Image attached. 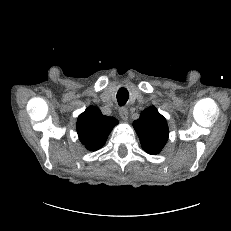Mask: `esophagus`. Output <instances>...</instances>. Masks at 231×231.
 <instances>
[{
	"instance_id": "obj_1",
	"label": "esophagus",
	"mask_w": 231,
	"mask_h": 231,
	"mask_svg": "<svg viewBox=\"0 0 231 231\" xmlns=\"http://www.w3.org/2000/svg\"><path fill=\"white\" fill-rule=\"evenodd\" d=\"M119 114H120V117L122 118V120L127 121V119H128V110H127V108H124V107L120 108Z\"/></svg>"
}]
</instances>
